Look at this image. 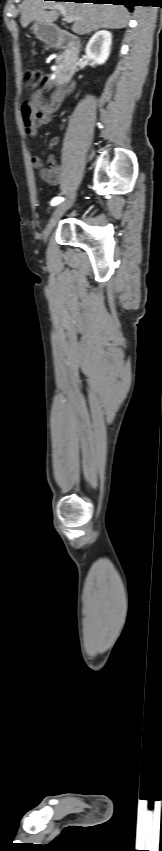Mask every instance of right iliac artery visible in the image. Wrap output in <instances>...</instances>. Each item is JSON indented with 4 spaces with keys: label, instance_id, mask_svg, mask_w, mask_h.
<instances>
[{
    "label": "right iliac artery",
    "instance_id": "obj_1",
    "mask_svg": "<svg viewBox=\"0 0 162 851\" xmlns=\"http://www.w3.org/2000/svg\"><path fill=\"white\" fill-rule=\"evenodd\" d=\"M63 200H64V198H62V197H55V198H53V199H52V201H51V205H53V206H54V205H57V204H59L60 202H62Z\"/></svg>",
    "mask_w": 162,
    "mask_h": 851
}]
</instances>
